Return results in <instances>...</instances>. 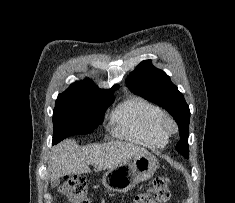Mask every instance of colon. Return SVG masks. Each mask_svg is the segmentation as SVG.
I'll list each match as a JSON object with an SVG mask.
<instances>
[{"instance_id":"obj_1","label":"colon","mask_w":235,"mask_h":203,"mask_svg":"<svg viewBox=\"0 0 235 203\" xmlns=\"http://www.w3.org/2000/svg\"><path fill=\"white\" fill-rule=\"evenodd\" d=\"M70 203H92L85 178L77 175L65 177L60 187ZM170 198L169 180L157 177L152 185L139 192L131 203H165Z\"/></svg>"}]
</instances>
